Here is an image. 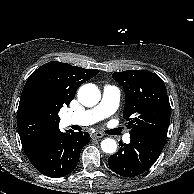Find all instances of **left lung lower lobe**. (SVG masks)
Returning <instances> with one entry per match:
<instances>
[{
	"label": "left lung lower lobe",
	"instance_id": "left-lung-lower-lobe-1",
	"mask_svg": "<svg viewBox=\"0 0 194 194\" xmlns=\"http://www.w3.org/2000/svg\"><path fill=\"white\" fill-rule=\"evenodd\" d=\"M131 142L109 157L113 172L124 177H135L147 171L157 160L166 142V136L134 131Z\"/></svg>",
	"mask_w": 194,
	"mask_h": 194
}]
</instances>
